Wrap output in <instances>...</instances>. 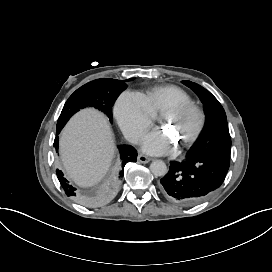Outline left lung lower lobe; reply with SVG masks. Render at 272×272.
<instances>
[{
	"label": "left lung lower lobe",
	"mask_w": 272,
	"mask_h": 272,
	"mask_svg": "<svg viewBox=\"0 0 272 272\" xmlns=\"http://www.w3.org/2000/svg\"><path fill=\"white\" fill-rule=\"evenodd\" d=\"M229 163V158L217 154L189 155L181 163H170L169 172L160 180L159 189L174 204L194 205L221 186Z\"/></svg>",
	"instance_id": "left-lung-lower-lobe-1"
}]
</instances>
